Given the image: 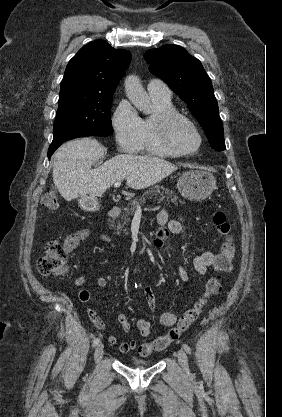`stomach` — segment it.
Wrapping results in <instances>:
<instances>
[{"mask_svg": "<svg viewBox=\"0 0 282 417\" xmlns=\"http://www.w3.org/2000/svg\"><path fill=\"white\" fill-rule=\"evenodd\" d=\"M177 188L182 196L188 198V200H204L216 188L215 176L205 168L187 170L179 176Z\"/></svg>", "mask_w": 282, "mask_h": 417, "instance_id": "stomach-1", "label": "stomach"}]
</instances>
